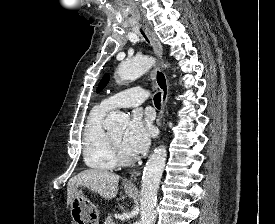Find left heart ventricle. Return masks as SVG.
I'll use <instances>...</instances> for the list:
<instances>
[{"label": "left heart ventricle", "mask_w": 275, "mask_h": 224, "mask_svg": "<svg viewBox=\"0 0 275 224\" xmlns=\"http://www.w3.org/2000/svg\"><path fill=\"white\" fill-rule=\"evenodd\" d=\"M109 134L111 135V137L113 138V140L118 143V145L120 146V148L123 151V153H125L127 155H130V153L127 152L124 149V147L122 146V137H123V134H124V130L123 129L115 130L113 132H110Z\"/></svg>", "instance_id": "obj_1"}]
</instances>
